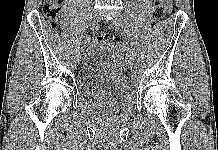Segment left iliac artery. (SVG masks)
<instances>
[{
    "label": "left iliac artery",
    "instance_id": "obj_1",
    "mask_svg": "<svg viewBox=\"0 0 218 150\" xmlns=\"http://www.w3.org/2000/svg\"><path fill=\"white\" fill-rule=\"evenodd\" d=\"M122 30H123V32L125 33V35H128V36H131V35H132V34L130 33V30H128L127 28L124 27ZM126 40H127L126 45H127V46H130V45H131V42H130L131 39L128 37ZM133 48H134L133 46H130V47L127 49L128 58H129V59H128V62H129V63H132V62H133V59H132V58H133L134 55L136 54V53H133Z\"/></svg>",
    "mask_w": 218,
    "mask_h": 150
}]
</instances>
